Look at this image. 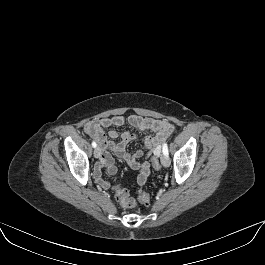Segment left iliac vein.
Listing matches in <instances>:
<instances>
[{
  "label": "left iliac vein",
  "instance_id": "4c4485c4",
  "mask_svg": "<svg viewBox=\"0 0 265 265\" xmlns=\"http://www.w3.org/2000/svg\"><path fill=\"white\" fill-rule=\"evenodd\" d=\"M161 163L164 167H168L170 165V159L166 155L161 156Z\"/></svg>",
  "mask_w": 265,
  "mask_h": 265
}]
</instances>
